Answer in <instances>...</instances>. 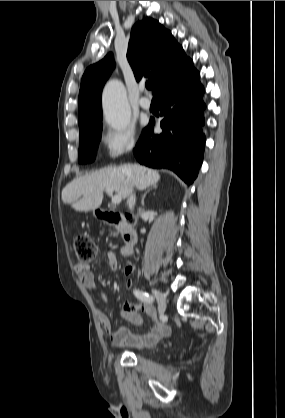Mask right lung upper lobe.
<instances>
[{"mask_svg": "<svg viewBox=\"0 0 285 418\" xmlns=\"http://www.w3.org/2000/svg\"><path fill=\"white\" fill-rule=\"evenodd\" d=\"M127 59L138 82L149 80L154 84L153 94L157 98L195 69L171 32L148 17L132 27ZM114 67L110 53L84 72L79 91V126L102 117V89Z\"/></svg>", "mask_w": 285, "mask_h": 418, "instance_id": "obj_1", "label": "right lung upper lobe"}]
</instances>
